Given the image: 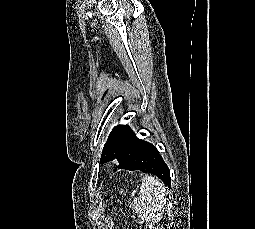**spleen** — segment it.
<instances>
[{
	"instance_id": "1",
	"label": "spleen",
	"mask_w": 255,
	"mask_h": 229,
	"mask_svg": "<svg viewBox=\"0 0 255 229\" xmlns=\"http://www.w3.org/2000/svg\"><path fill=\"white\" fill-rule=\"evenodd\" d=\"M165 185L151 175L142 178L139 197H135L133 204L138 216L147 223H157L161 220L166 204Z\"/></svg>"
}]
</instances>
